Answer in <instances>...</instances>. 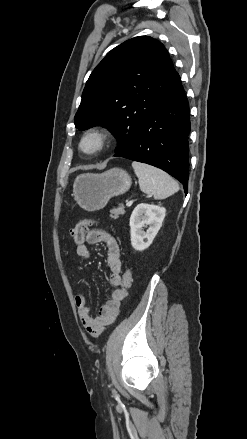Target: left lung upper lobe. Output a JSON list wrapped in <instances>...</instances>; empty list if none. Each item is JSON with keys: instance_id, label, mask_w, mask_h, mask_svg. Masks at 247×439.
<instances>
[{"instance_id": "left-lung-upper-lobe-1", "label": "left lung upper lobe", "mask_w": 247, "mask_h": 439, "mask_svg": "<svg viewBox=\"0 0 247 439\" xmlns=\"http://www.w3.org/2000/svg\"><path fill=\"white\" fill-rule=\"evenodd\" d=\"M179 82L160 41L147 36L132 38L111 50L91 73L75 127H107L118 139L116 151H124L140 123Z\"/></svg>"}]
</instances>
